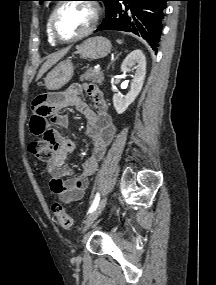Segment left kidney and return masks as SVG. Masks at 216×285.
Listing matches in <instances>:
<instances>
[{"mask_svg":"<svg viewBox=\"0 0 216 285\" xmlns=\"http://www.w3.org/2000/svg\"><path fill=\"white\" fill-rule=\"evenodd\" d=\"M135 70L131 89L127 95H121L119 93L113 96V105L118 114H122L126 111L131 103L134 102L139 95L146 74V58L143 52L139 49L132 51L127 55L121 65V71L123 73H129Z\"/></svg>","mask_w":216,"mask_h":285,"instance_id":"5707ae66","label":"left kidney"}]
</instances>
